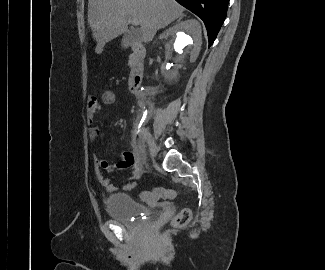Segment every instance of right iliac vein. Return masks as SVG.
<instances>
[{"label": "right iliac vein", "mask_w": 325, "mask_h": 270, "mask_svg": "<svg viewBox=\"0 0 325 270\" xmlns=\"http://www.w3.org/2000/svg\"><path fill=\"white\" fill-rule=\"evenodd\" d=\"M150 154L154 157L158 152V147L150 134H148Z\"/></svg>", "instance_id": "63e3f726"}]
</instances>
